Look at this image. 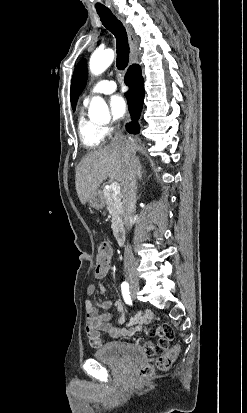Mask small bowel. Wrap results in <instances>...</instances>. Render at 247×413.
Returning a JSON list of instances; mask_svg holds the SVG:
<instances>
[{
    "mask_svg": "<svg viewBox=\"0 0 247 413\" xmlns=\"http://www.w3.org/2000/svg\"><path fill=\"white\" fill-rule=\"evenodd\" d=\"M97 266V265H96ZM102 276L95 275L94 283H91L87 287V295H92L96 290L101 294H104L106 289L102 284ZM114 308L120 313L117 324L111 322L112 314L110 312L101 313L100 310H109ZM153 313L150 310L140 311L138 314L131 317L128 323H126L125 307L120 301H97L91 302L86 300L85 302V330L89 342L94 347H99L102 344L101 332L104 331L109 334L113 339H116L115 347L117 349H145L148 355H165L167 353V343L163 342L162 346H152L151 341L142 340L141 336H136L135 333L143 331L145 328L152 329L153 331H159L158 335H165L167 338H174L176 332L174 329H169L170 325L166 322H161L160 317H156L155 321L151 325L149 324L153 319ZM147 330L146 336L152 337L153 331ZM161 330V331H160ZM107 347L111 346L110 342L106 343Z\"/></svg>",
    "mask_w": 247,
    "mask_h": 413,
    "instance_id": "1",
    "label": "small bowel"
}]
</instances>
